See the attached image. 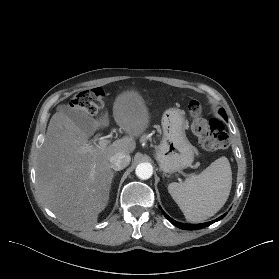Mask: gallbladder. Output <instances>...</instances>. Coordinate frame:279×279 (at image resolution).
<instances>
[{"label": "gallbladder", "mask_w": 279, "mask_h": 279, "mask_svg": "<svg viewBox=\"0 0 279 279\" xmlns=\"http://www.w3.org/2000/svg\"><path fill=\"white\" fill-rule=\"evenodd\" d=\"M59 109L87 134L95 132L94 120L85 111L68 105H62Z\"/></svg>", "instance_id": "1"}]
</instances>
